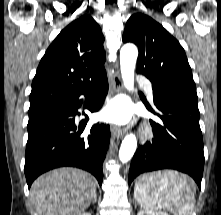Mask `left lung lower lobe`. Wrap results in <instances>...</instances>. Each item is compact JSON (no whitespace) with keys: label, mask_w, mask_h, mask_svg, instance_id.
Segmentation results:
<instances>
[{"label":"left lung lower lobe","mask_w":221,"mask_h":215,"mask_svg":"<svg viewBox=\"0 0 221 215\" xmlns=\"http://www.w3.org/2000/svg\"><path fill=\"white\" fill-rule=\"evenodd\" d=\"M153 98L163 122L151 121L154 139L152 144L140 146L133 156L129 185L141 173L174 169L189 174L201 189L204 152L197 100L163 89H153Z\"/></svg>","instance_id":"0a47b994"}]
</instances>
